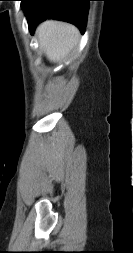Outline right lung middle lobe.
<instances>
[{
  "label": "right lung middle lobe",
  "instance_id": "right-lung-middle-lobe-1",
  "mask_svg": "<svg viewBox=\"0 0 133 253\" xmlns=\"http://www.w3.org/2000/svg\"><path fill=\"white\" fill-rule=\"evenodd\" d=\"M29 0H21V5L23 7V9H25V7L27 6Z\"/></svg>",
  "mask_w": 133,
  "mask_h": 253
}]
</instances>
